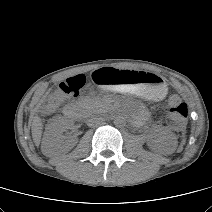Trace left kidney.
Listing matches in <instances>:
<instances>
[{"label": "left kidney", "mask_w": 212, "mask_h": 212, "mask_svg": "<svg viewBox=\"0 0 212 212\" xmlns=\"http://www.w3.org/2000/svg\"><path fill=\"white\" fill-rule=\"evenodd\" d=\"M148 145L153 151L168 155L175 151L177 138L170 130L163 129L149 140Z\"/></svg>", "instance_id": "obj_1"}]
</instances>
